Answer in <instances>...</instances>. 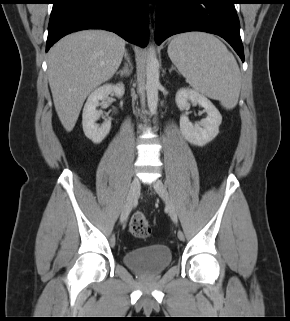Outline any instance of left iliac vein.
Masks as SVG:
<instances>
[{"label":"left iliac vein","mask_w":290,"mask_h":321,"mask_svg":"<svg viewBox=\"0 0 290 321\" xmlns=\"http://www.w3.org/2000/svg\"><path fill=\"white\" fill-rule=\"evenodd\" d=\"M152 186H153L154 190L157 192V194L166 203L168 213H169V216L172 219V221L174 223H177L178 222L177 211H176L172 201L170 200L169 193H168L165 185L163 184V182L160 179H156L152 182Z\"/></svg>","instance_id":"obj_1"}]
</instances>
